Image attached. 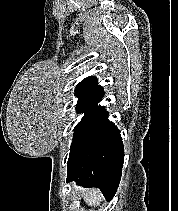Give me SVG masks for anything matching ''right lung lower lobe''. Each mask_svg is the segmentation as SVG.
<instances>
[{
	"label": "right lung lower lobe",
	"mask_w": 178,
	"mask_h": 211,
	"mask_svg": "<svg viewBox=\"0 0 178 211\" xmlns=\"http://www.w3.org/2000/svg\"><path fill=\"white\" fill-rule=\"evenodd\" d=\"M124 160L120 131L97 104L75 129L67 163V183L99 188L107 200L115 195Z\"/></svg>",
	"instance_id": "obj_1"
}]
</instances>
